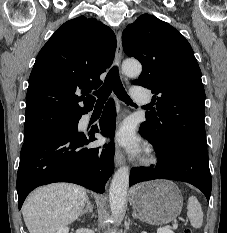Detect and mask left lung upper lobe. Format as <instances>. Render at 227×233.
<instances>
[{
    "instance_id": "1",
    "label": "left lung upper lobe",
    "mask_w": 227,
    "mask_h": 233,
    "mask_svg": "<svg viewBox=\"0 0 227 233\" xmlns=\"http://www.w3.org/2000/svg\"><path fill=\"white\" fill-rule=\"evenodd\" d=\"M122 43L143 65L133 84L155 94L156 108L146 113L140 132L159 148L185 140L207 149L205 91L188 41L168 23L143 14L123 31Z\"/></svg>"
}]
</instances>
